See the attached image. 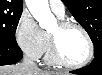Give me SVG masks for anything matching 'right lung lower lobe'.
<instances>
[{
    "instance_id": "right-lung-lower-lobe-1",
    "label": "right lung lower lobe",
    "mask_w": 102,
    "mask_h": 75,
    "mask_svg": "<svg viewBox=\"0 0 102 75\" xmlns=\"http://www.w3.org/2000/svg\"><path fill=\"white\" fill-rule=\"evenodd\" d=\"M22 58V51L18 45L0 43V66L15 64Z\"/></svg>"
}]
</instances>
